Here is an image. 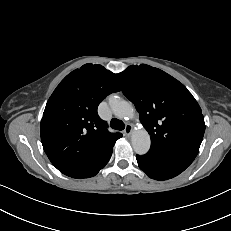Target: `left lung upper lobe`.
<instances>
[{
  "instance_id": "left-lung-upper-lobe-1",
  "label": "left lung upper lobe",
  "mask_w": 231,
  "mask_h": 231,
  "mask_svg": "<svg viewBox=\"0 0 231 231\" xmlns=\"http://www.w3.org/2000/svg\"><path fill=\"white\" fill-rule=\"evenodd\" d=\"M116 77L151 136L148 153L193 162L205 123L188 89L164 71L146 64L131 65Z\"/></svg>"
}]
</instances>
